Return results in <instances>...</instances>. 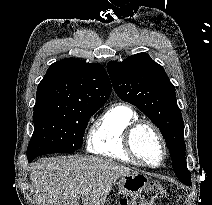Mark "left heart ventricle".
Wrapping results in <instances>:
<instances>
[{"label":"left heart ventricle","instance_id":"obj_1","mask_svg":"<svg viewBox=\"0 0 212 205\" xmlns=\"http://www.w3.org/2000/svg\"><path fill=\"white\" fill-rule=\"evenodd\" d=\"M134 143L137 152L143 159L153 164H157L161 161V145L150 129H140L135 136Z\"/></svg>","mask_w":212,"mask_h":205}]
</instances>
